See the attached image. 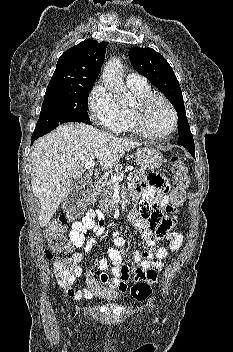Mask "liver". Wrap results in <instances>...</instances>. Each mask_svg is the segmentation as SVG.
Wrapping results in <instances>:
<instances>
[{
  "instance_id": "obj_1",
  "label": "liver",
  "mask_w": 233,
  "mask_h": 352,
  "mask_svg": "<svg viewBox=\"0 0 233 352\" xmlns=\"http://www.w3.org/2000/svg\"><path fill=\"white\" fill-rule=\"evenodd\" d=\"M140 143L114 137L90 125L67 123L35 143L31 152L32 191L40 201L39 223L45 227L71 184L85 171V163L98 159L102 171L112 169L126 151Z\"/></svg>"
}]
</instances>
